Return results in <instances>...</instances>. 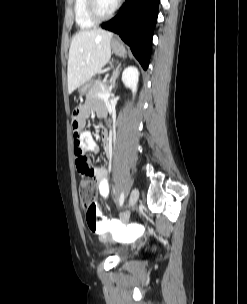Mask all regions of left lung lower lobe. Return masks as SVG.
Wrapping results in <instances>:
<instances>
[{
    "label": "left lung lower lobe",
    "instance_id": "left-lung-lower-lobe-1",
    "mask_svg": "<svg viewBox=\"0 0 247 304\" xmlns=\"http://www.w3.org/2000/svg\"><path fill=\"white\" fill-rule=\"evenodd\" d=\"M160 0H126L122 10L102 28L120 35L146 70Z\"/></svg>",
    "mask_w": 247,
    "mask_h": 304
}]
</instances>
